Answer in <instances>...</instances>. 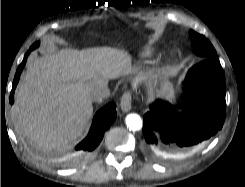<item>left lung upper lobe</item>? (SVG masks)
I'll return each instance as SVG.
<instances>
[{
  "mask_svg": "<svg viewBox=\"0 0 245 187\" xmlns=\"http://www.w3.org/2000/svg\"><path fill=\"white\" fill-rule=\"evenodd\" d=\"M189 36L192 41V50L203 60L211 57H216L217 53L210 43L203 35H200L193 30L189 31Z\"/></svg>",
  "mask_w": 245,
  "mask_h": 187,
  "instance_id": "5c2ea615",
  "label": "left lung upper lobe"
}]
</instances>
